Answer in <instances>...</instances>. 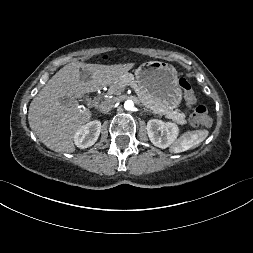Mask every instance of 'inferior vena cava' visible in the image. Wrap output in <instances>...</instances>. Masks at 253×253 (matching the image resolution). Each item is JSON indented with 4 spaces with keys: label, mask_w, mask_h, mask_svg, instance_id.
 Listing matches in <instances>:
<instances>
[{
    "label": "inferior vena cava",
    "mask_w": 253,
    "mask_h": 253,
    "mask_svg": "<svg viewBox=\"0 0 253 253\" xmlns=\"http://www.w3.org/2000/svg\"><path fill=\"white\" fill-rule=\"evenodd\" d=\"M115 103H116V100L114 99L104 100L99 106L100 112L108 113L115 106Z\"/></svg>",
    "instance_id": "602c4592"
}]
</instances>
